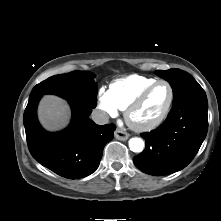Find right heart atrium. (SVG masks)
<instances>
[{"label":"right heart atrium","mask_w":221,"mask_h":221,"mask_svg":"<svg viewBox=\"0 0 221 221\" xmlns=\"http://www.w3.org/2000/svg\"><path fill=\"white\" fill-rule=\"evenodd\" d=\"M98 107L106 116L114 117L117 115L118 108L114 104L109 91L104 88H100L98 91Z\"/></svg>","instance_id":"right-heart-atrium-1"}]
</instances>
